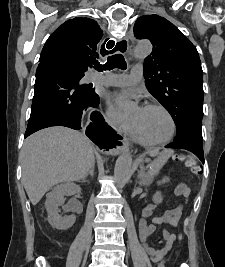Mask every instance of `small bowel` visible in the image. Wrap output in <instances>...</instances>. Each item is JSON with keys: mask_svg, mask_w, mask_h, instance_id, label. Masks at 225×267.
I'll return each instance as SVG.
<instances>
[{"mask_svg": "<svg viewBox=\"0 0 225 267\" xmlns=\"http://www.w3.org/2000/svg\"><path fill=\"white\" fill-rule=\"evenodd\" d=\"M175 193L176 195L187 199L189 189L184 183H179L175 188ZM182 207V204H180L176 208L166 211L163 215L155 217L151 223H148L146 219L153 214L155 206L153 204H148L143 209L142 218L139 222V237L143 243L144 250L154 260H161L170 251L176 240V236L165 228L162 239L159 241V244L161 245L160 248L149 246L146 243L147 239L154 233L157 225H164L166 227L177 226L182 214Z\"/></svg>", "mask_w": 225, "mask_h": 267, "instance_id": "small-bowel-1", "label": "small bowel"}]
</instances>
